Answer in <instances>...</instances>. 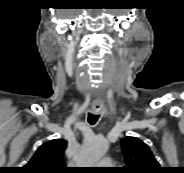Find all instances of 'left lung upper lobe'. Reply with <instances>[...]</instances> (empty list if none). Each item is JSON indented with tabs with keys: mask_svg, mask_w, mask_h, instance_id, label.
<instances>
[{
	"mask_svg": "<svg viewBox=\"0 0 184 173\" xmlns=\"http://www.w3.org/2000/svg\"><path fill=\"white\" fill-rule=\"evenodd\" d=\"M122 151L127 167L122 173H161L162 168L155 160L149 147L136 137L121 140Z\"/></svg>",
	"mask_w": 184,
	"mask_h": 173,
	"instance_id": "5c2ea615",
	"label": "left lung upper lobe"
}]
</instances>
